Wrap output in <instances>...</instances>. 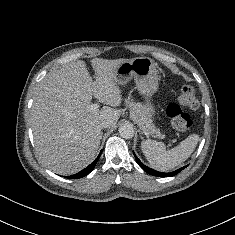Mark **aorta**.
Returning <instances> with one entry per match:
<instances>
[{"instance_id": "obj_1", "label": "aorta", "mask_w": 235, "mask_h": 235, "mask_svg": "<svg viewBox=\"0 0 235 235\" xmlns=\"http://www.w3.org/2000/svg\"><path fill=\"white\" fill-rule=\"evenodd\" d=\"M119 134L124 139H131L134 136V128L131 124H123L119 127Z\"/></svg>"}]
</instances>
